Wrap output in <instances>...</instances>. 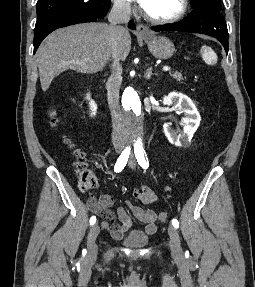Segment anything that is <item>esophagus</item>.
<instances>
[{"instance_id": "obj_1", "label": "esophagus", "mask_w": 255, "mask_h": 287, "mask_svg": "<svg viewBox=\"0 0 255 287\" xmlns=\"http://www.w3.org/2000/svg\"><path fill=\"white\" fill-rule=\"evenodd\" d=\"M137 31L141 36H149L150 35V28L146 25L139 24L137 26Z\"/></svg>"}]
</instances>
